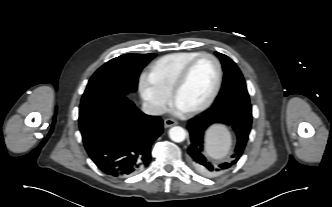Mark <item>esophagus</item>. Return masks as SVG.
<instances>
[{
	"mask_svg": "<svg viewBox=\"0 0 332 207\" xmlns=\"http://www.w3.org/2000/svg\"><path fill=\"white\" fill-rule=\"evenodd\" d=\"M177 124V121L171 118H167L164 120V127L169 128Z\"/></svg>",
	"mask_w": 332,
	"mask_h": 207,
	"instance_id": "34e87169",
	"label": "esophagus"
}]
</instances>
